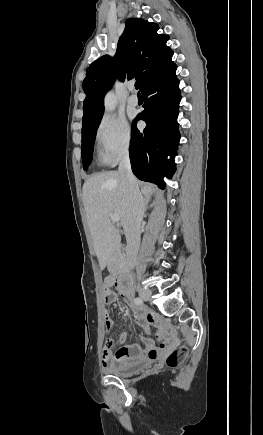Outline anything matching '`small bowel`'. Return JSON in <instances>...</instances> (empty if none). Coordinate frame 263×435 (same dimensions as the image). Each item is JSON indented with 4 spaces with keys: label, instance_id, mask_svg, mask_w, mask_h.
<instances>
[{
    "label": "small bowel",
    "instance_id": "small-bowel-1",
    "mask_svg": "<svg viewBox=\"0 0 263 435\" xmlns=\"http://www.w3.org/2000/svg\"><path fill=\"white\" fill-rule=\"evenodd\" d=\"M117 285L115 279L112 276H108L104 280V288L112 297L111 299L105 300L104 302L107 305H110L115 302L116 294L111 290V288ZM133 316L137 322V324L148 331L149 327L156 323L157 318L154 314L144 312L137 306L132 305ZM113 326V320L109 313H105V327L107 330H110ZM141 340L144 343V347L139 344L123 346L116 353H113L112 350H102V365L103 367H110L111 365L118 363H133L140 361L141 359L148 358L151 360H156L160 357L161 353L169 346L172 342V337L168 336L164 341L160 343L157 347L154 342L145 337L140 336ZM128 335L126 332H122L118 336V341L120 344H125L127 341Z\"/></svg>",
    "mask_w": 263,
    "mask_h": 435
}]
</instances>
